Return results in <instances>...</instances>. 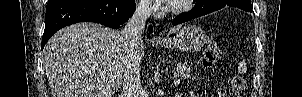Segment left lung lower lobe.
Here are the masks:
<instances>
[{"label": "left lung lower lobe", "mask_w": 302, "mask_h": 97, "mask_svg": "<svg viewBox=\"0 0 302 97\" xmlns=\"http://www.w3.org/2000/svg\"><path fill=\"white\" fill-rule=\"evenodd\" d=\"M225 6L237 7L242 10L252 12L251 0H237L232 2H221L219 0H197L195 6L190 11L180 14L173 20V25L209 14Z\"/></svg>", "instance_id": "1"}]
</instances>
